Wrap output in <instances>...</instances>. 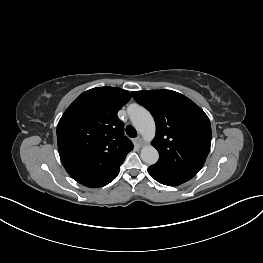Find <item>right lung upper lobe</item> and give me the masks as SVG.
Segmentation results:
<instances>
[{
	"label": "right lung upper lobe",
	"mask_w": 263,
	"mask_h": 263,
	"mask_svg": "<svg viewBox=\"0 0 263 263\" xmlns=\"http://www.w3.org/2000/svg\"><path fill=\"white\" fill-rule=\"evenodd\" d=\"M131 98L121 88L83 92L57 126L58 151L69 175L79 183L100 178L120 166L133 144L124 136L117 112Z\"/></svg>",
	"instance_id": "cb5924a9"
}]
</instances>
